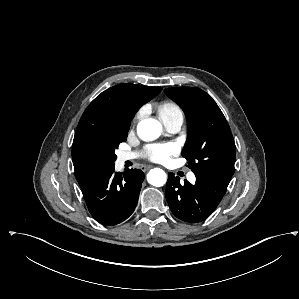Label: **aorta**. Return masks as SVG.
Listing matches in <instances>:
<instances>
[{
    "label": "aorta",
    "mask_w": 299,
    "mask_h": 299,
    "mask_svg": "<svg viewBox=\"0 0 299 299\" xmlns=\"http://www.w3.org/2000/svg\"><path fill=\"white\" fill-rule=\"evenodd\" d=\"M162 133V125L156 119L146 118L137 125V134L144 141L157 139ZM147 181L155 186L161 187L167 181L166 173L160 168H154L147 174Z\"/></svg>",
    "instance_id": "762f6f07"
}]
</instances>
